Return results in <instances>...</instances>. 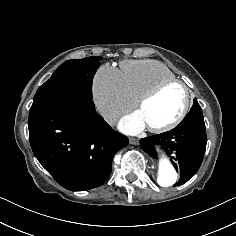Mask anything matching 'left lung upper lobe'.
<instances>
[{"label":"left lung upper lobe","instance_id":"1","mask_svg":"<svg viewBox=\"0 0 236 236\" xmlns=\"http://www.w3.org/2000/svg\"><path fill=\"white\" fill-rule=\"evenodd\" d=\"M201 110L202 109H201L200 105L198 104L197 99H194V103H193V106H192L190 112H196V111H201Z\"/></svg>","mask_w":236,"mask_h":236}]
</instances>
